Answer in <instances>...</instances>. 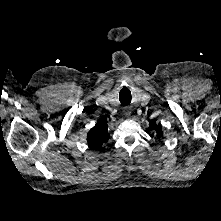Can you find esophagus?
<instances>
[{"label":"esophagus","mask_w":221,"mask_h":221,"mask_svg":"<svg viewBox=\"0 0 221 221\" xmlns=\"http://www.w3.org/2000/svg\"><path fill=\"white\" fill-rule=\"evenodd\" d=\"M131 113L130 109L129 108H124V115L125 116H129Z\"/></svg>","instance_id":"1"}]
</instances>
